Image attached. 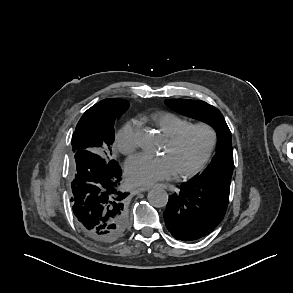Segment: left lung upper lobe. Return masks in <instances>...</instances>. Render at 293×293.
<instances>
[{"label":"left lung upper lobe","instance_id":"obj_1","mask_svg":"<svg viewBox=\"0 0 293 293\" xmlns=\"http://www.w3.org/2000/svg\"><path fill=\"white\" fill-rule=\"evenodd\" d=\"M172 110L211 125L217 134V151L209 167L197 176L203 181H231L233 174V149L231 132L221 112L204 101L168 99L165 101Z\"/></svg>","mask_w":293,"mask_h":293}]
</instances>
